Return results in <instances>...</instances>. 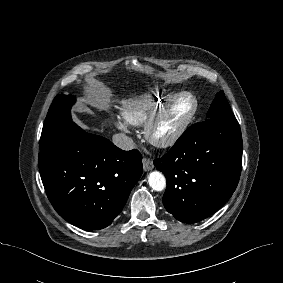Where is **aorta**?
<instances>
[{
  "label": "aorta",
  "instance_id": "obj_1",
  "mask_svg": "<svg viewBox=\"0 0 283 283\" xmlns=\"http://www.w3.org/2000/svg\"><path fill=\"white\" fill-rule=\"evenodd\" d=\"M148 183L154 191H162L166 187V179L159 171H153L149 174Z\"/></svg>",
  "mask_w": 283,
  "mask_h": 283
}]
</instances>
